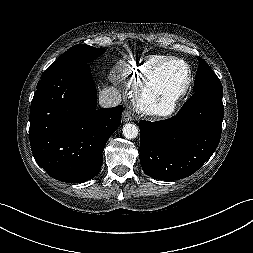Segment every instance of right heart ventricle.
<instances>
[{"label": "right heart ventricle", "instance_id": "obj_1", "mask_svg": "<svg viewBox=\"0 0 253 253\" xmlns=\"http://www.w3.org/2000/svg\"><path fill=\"white\" fill-rule=\"evenodd\" d=\"M168 59L167 56L151 54L128 62L119 72L118 79L136 91L147 74L159 63Z\"/></svg>", "mask_w": 253, "mask_h": 253}]
</instances>
